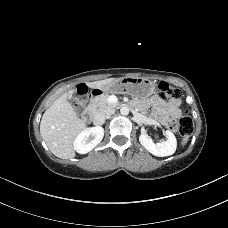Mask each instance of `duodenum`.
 Segmentation results:
<instances>
[{
	"instance_id": "obj_1",
	"label": "duodenum",
	"mask_w": 228,
	"mask_h": 228,
	"mask_svg": "<svg viewBox=\"0 0 228 228\" xmlns=\"http://www.w3.org/2000/svg\"><path fill=\"white\" fill-rule=\"evenodd\" d=\"M100 94H101L100 92L97 93L96 96H94V97L92 98V100H94V99H95L97 96H99ZM83 120H84V122H86V123L91 122V120H92V111H91L90 108H88V109H86V110L84 111Z\"/></svg>"
}]
</instances>
